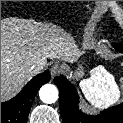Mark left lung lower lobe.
<instances>
[{
	"label": "left lung lower lobe",
	"instance_id": "left-lung-lower-lobe-1",
	"mask_svg": "<svg viewBox=\"0 0 123 123\" xmlns=\"http://www.w3.org/2000/svg\"><path fill=\"white\" fill-rule=\"evenodd\" d=\"M113 47L123 53V44L114 43ZM54 83L60 91V111L63 123H123V103L101 112L100 115H87L79 110V98L75 87L64 77H56Z\"/></svg>",
	"mask_w": 123,
	"mask_h": 123
}]
</instances>
